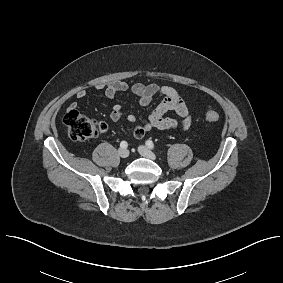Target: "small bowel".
Instances as JSON below:
<instances>
[{
    "mask_svg": "<svg viewBox=\"0 0 283 283\" xmlns=\"http://www.w3.org/2000/svg\"><path fill=\"white\" fill-rule=\"evenodd\" d=\"M97 89L103 90L108 98H114L118 93L131 92L138 97V102L141 106H149L156 96H161L162 100L155 106L148 116L146 122L137 123L135 115L127 116V121L133 125V135L135 138H142L153 129H173L180 127L182 130H187L191 126V117L187 106L181 98L179 92L171 85L167 84H144L135 83L131 87L124 81H114L105 85H98ZM75 96L78 99H83L87 96L84 89L77 90ZM77 108L76 103L69 105L70 110ZM169 112H174L180 120L167 116ZM123 108L116 104L110 112V119L113 122H118L123 116Z\"/></svg>",
    "mask_w": 283,
    "mask_h": 283,
    "instance_id": "small-bowel-1",
    "label": "small bowel"
}]
</instances>
